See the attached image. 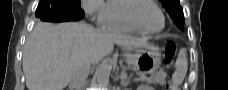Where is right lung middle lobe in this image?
<instances>
[{
    "label": "right lung middle lobe",
    "mask_w": 228,
    "mask_h": 90,
    "mask_svg": "<svg viewBox=\"0 0 228 90\" xmlns=\"http://www.w3.org/2000/svg\"><path fill=\"white\" fill-rule=\"evenodd\" d=\"M44 3H54L55 6H57L59 9H61L71 17L82 13V9L80 7V0H40L39 4Z\"/></svg>",
    "instance_id": "dd1d6c3e"
}]
</instances>
